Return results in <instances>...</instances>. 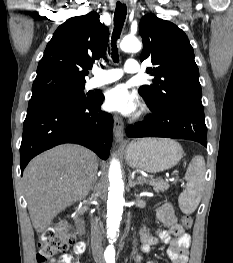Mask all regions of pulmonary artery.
<instances>
[{
  "label": "pulmonary artery",
  "instance_id": "1",
  "mask_svg": "<svg viewBox=\"0 0 233 263\" xmlns=\"http://www.w3.org/2000/svg\"><path fill=\"white\" fill-rule=\"evenodd\" d=\"M123 72L129 74L138 73L139 72L138 61L133 58L127 59L123 70L119 68H112L106 70L96 69L94 71L93 78H91L88 81L87 87L89 89H93L99 86H103L105 84L115 82L122 77Z\"/></svg>",
  "mask_w": 233,
  "mask_h": 263
}]
</instances>
